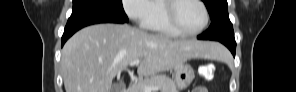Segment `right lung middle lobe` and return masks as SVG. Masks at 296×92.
Masks as SVG:
<instances>
[{
	"label": "right lung middle lobe",
	"mask_w": 296,
	"mask_h": 92,
	"mask_svg": "<svg viewBox=\"0 0 296 92\" xmlns=\"http://www.w3.org/2000/svg\"><path fill=\"white\" fill-rule=\"evenodd\" d=\"M89 12L101 13L128 21L122 0H73L72 15Z\"/></svg>",
	"instance_id": "1"
}]
</instances>
